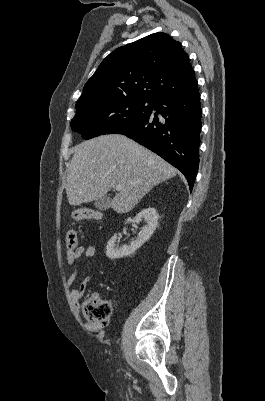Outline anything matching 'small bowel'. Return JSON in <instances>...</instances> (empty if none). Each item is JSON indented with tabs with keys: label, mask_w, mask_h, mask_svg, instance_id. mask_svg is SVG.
<instances>
[{
	"label": "small bowel",
	"mask_w": 265,
	"mask_h": 401,
	"mask_svg": "<svg viewBox=\"0 0 265 401\" xmlns=\"http://www.w3.org/2000/svg\"><path fill=\"white\" fill-rule=\"evenodd\" d=\"M96 246L95 245H89V246H79L76 247L74 251H67V257H66V264L72 268V272L67 279V285L70 287L72 286L78 276V268L76 266V261L81 257L84 256L85 258H92L96 254ZM91 277L88 276L84 278L81 283L79 284L78 287L74 288L70 292V297L71 300L74 304V307L78 310L79 309V302L80 299L82 298L89 282L91 281ZM97 296V295H95ZM86 328L91 331V332H96L100 330L99 326L92 325V324H86Z\"/></svg>",
	"instance_id": "small-bowel-1"
}]
</instances>
